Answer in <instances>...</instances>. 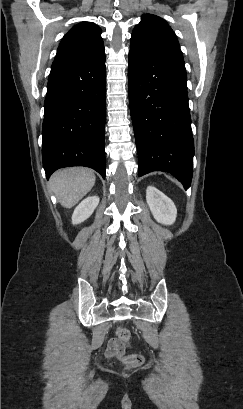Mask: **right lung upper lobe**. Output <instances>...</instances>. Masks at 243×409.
Returning <instances> with one entry per match:
<instances>
[{
  "mask_svg": "<svg viewBox=\"0 0 243 409\" xmlns=\"http://www.w3.org/2000/svg\"><path fill=\"white\" fill-rule=\"evenodd\" d=\"M102 48L104 44L99 26L81 22L61 40L51 68L86 59Z\"/></svg>",
  "mask_w": 243,
  "mask_h": 409,
  "instance_id": "obj_1",
  "label": "right lung upper lobe"
}]
</instances>
